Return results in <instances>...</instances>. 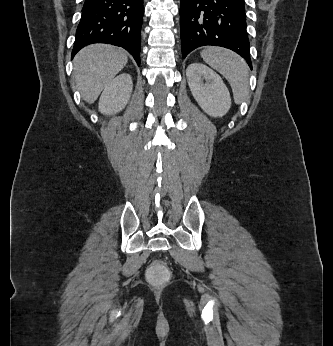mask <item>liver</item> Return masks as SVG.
Segmentation results:
<instances>
[{"label":"liver","mask_w":333,"mask_h":346,"mask_svg":"<svg viewBox=\"0 0 333 346\" xmlns=\"http://www.w3.org/2000/svg\"><path fill=\"white\" fill-rule=\"evenodd\" d=\"M127 62V53L112 45L93 44L80 50L74 58L73 75L82 98L94 103Z\"/></svg>","instance_id":"1"}]
</instances>
